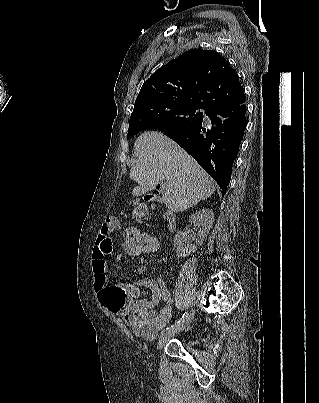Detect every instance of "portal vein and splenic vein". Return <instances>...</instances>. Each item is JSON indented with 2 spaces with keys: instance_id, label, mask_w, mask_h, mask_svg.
Masks as SVG:
<instances>
[{
  "instance_id": "18ae733b",
  "label": "portal vein and splenic vein",
  "mask_w": 319,
  "mask_h": 403,
  "mask_svg": "<svg viewBox=\"0 0 319 403\" xmlns=\"http://www.w3.org/2000/svg\"><path fill=\"white\" fill-rule=\"evenodd\" d=\"M163 186L165 187V186H166V184H165V183H162V187H163Z\"/></svg>"
}]
</instances>
